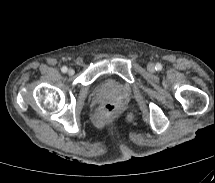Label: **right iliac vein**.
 Listing matches in <instances>:
<instances>
[{
  "label": "right iliac vein",
  "instance_id": "63e3f726",
  "mask_svg": "<svg viewBox=\"0 0 215 183\" xmlns=\"http://www.w3.org/2000/svg\"><path fill=\"white\" fill-rule=\"evenodd\" d=\"M74 73H75V71H74L73 69H69V70H68V75H69V76H73Z\"/></svg>",
  "mask_w": 215,
  "mask_h": 183
}]
</instances>
